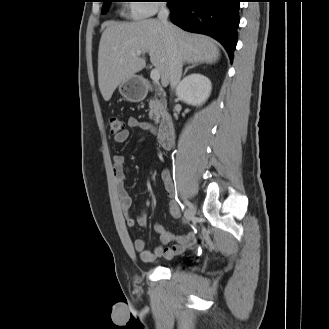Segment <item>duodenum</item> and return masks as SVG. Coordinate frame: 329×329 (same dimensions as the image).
Masks as SVG:
<instances>
[{
  "label": "duodenum",
  "mask_w": 329,
  "mask_h": 329,
  "mask_svg": "<svg viewBox=\"0 0 329 329\" xmlns=\"http://www.w3.org/2000/svg\"><path fill=\"white\" fill-rule=\"evenodd\" d=\"M158 141L161 147L169 149L174 143V124L170 115H163L159 123Z\"/></svg>",
  "instance_id": "1"
}]
</instances>
